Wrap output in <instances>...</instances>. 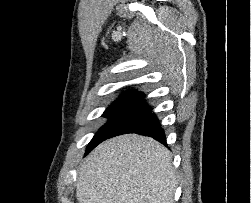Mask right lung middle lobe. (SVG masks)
<instances>
[{"label": "right lung middle lobe", "mask_w": 251, "mask_h": 203, "mask_svg": "<svg viewBox=\"0 0 251 203\" xmlns=\"http://www.w3.org/2000/svg\"><path fill=\"white\" fill-rule=\"evenodd\" d=\"M144 111L137 108L109 107L105 110L103 116L111 119L99 129L93 139L90 141L85 155L94 149L99 143L109 138V136L121 125L140 115Z\"/></svg>", "instance_id": "1"}]
</instances>
